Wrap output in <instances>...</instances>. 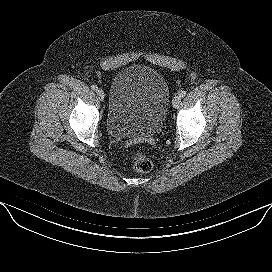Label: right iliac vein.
<instances>
[{"label": "right iliac vein", "instance_id": "obj_1", "mask_svg": "<svg viewBox=\"0 0 272 272\" xmlns=\"http://www.w3.org/2000/svg\"><path fill=\"white\" fill-rule=\"evenodd\" d=\"M96 94H97V97H98V99H99L100 101H103V100H104V98H105V93H104L103 90L98 89V90L96 91Z\"/></svg>", "mask_w": 272, "mask_h": 272}]
</instances>
